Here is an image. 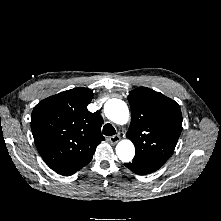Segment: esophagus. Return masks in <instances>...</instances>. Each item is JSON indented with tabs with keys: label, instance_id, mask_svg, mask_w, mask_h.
Returning <instances> with one entry per match:
<instances>
[{
	"label": "esophagus",
	"instance_id": "34e87169",
	"mask_svg": "<svg viewBox=\"0 0 221 221\" xmlns=\"http://www.w3.org/2000/svg\"><path fill=\"white\" fill-rule=\"evenodd\" d=\"M108 141L110 142V144L115 145L120 141V136L119 135L110 136L108 138Z\"/></svg>",
	"mask_w": 221,
	"mask_h": 221
}]
</instances>
